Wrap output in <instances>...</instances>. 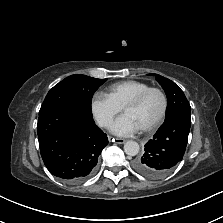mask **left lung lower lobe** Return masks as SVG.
<instances>
[{"mask_svg": "<svg viewBox=\"0 0 223 223\" xmlns=\"http://www.w3.org/2000/svg\"><path fill=\"white\" fill-rule=\"evenodd\" d=\"M191 120L172 117L145 144L144 154L133 162L134 169L149 179L167 176L185 153Z\"/></svg>", "mask_w": 223, "mask_h": 223, "instance_id": "1", "label": "left lung lower lobe"}]
</instances>
